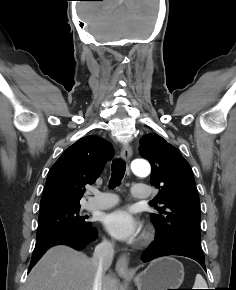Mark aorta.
I'll list each match as a JSON object with an SVG mask.
<instances>
[{
	"label": "aorta",
	"mask_w": 236,
	"mask_h": 290,
	"mask_svg": "<svg viewBox=\"0 0 236 290\" xmlns=\"http://www.w3.org/2000/svg\"><path fill=\"white\" fill-rule=\"evenodd\" d=\"M131 168L133 173L139 177H146L151 171L150 165L144 160L133 161Z\"/></svg>",
	"instance_id": "aorta-1"
}]
</instances>
